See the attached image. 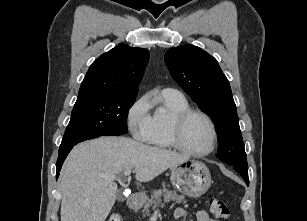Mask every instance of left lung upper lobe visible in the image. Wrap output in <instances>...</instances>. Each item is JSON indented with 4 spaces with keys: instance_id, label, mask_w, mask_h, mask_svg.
I'll return each mask as SVG.
<instances>
[{
    "instance_id": "5c2ea615",
    "label": "left lung upper lobe",
    "mask_w": 307,
    "mask_h": 221,
    "mask_svg": "<svg viewBox=\"0 0 307 221\" xmlns=\"http://www.w3.org/2000/svg\"><path fill=\"white\" fill-rule=\"evenodd\" d=\"M165 62L173 79L214 121L218 133V158L248 171L236 105L229 82L218 62L190 44L169 49Z\"/></svg>"
}]
</instances>
